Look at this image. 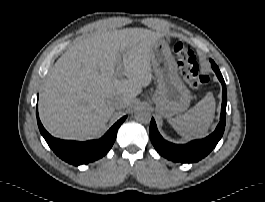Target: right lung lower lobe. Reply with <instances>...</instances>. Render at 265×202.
<instances>
[{
    "mask_svg": "<svg viewBox=\"0 0 265 202\" xmlns=\"http://www.w3.org/2000/svg\"><path fill=\"white\" fill-rule=\"evenodd\" d=\"M36 116L39 130L49 147L62 160L75 166L86 164L103 157L114 144L118 128L126 119V116H124L118 120L107 133L98 140L77 142L60 140L52 137L41 124L38 116V109L36 110Z\"/></svg>",
    "mask_w": 265,
    "mask_h": 202,
    "instance_id": "obj_1",
    "label": "right lung lower lobe"
}]
</instances>
